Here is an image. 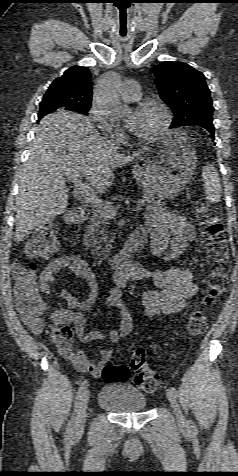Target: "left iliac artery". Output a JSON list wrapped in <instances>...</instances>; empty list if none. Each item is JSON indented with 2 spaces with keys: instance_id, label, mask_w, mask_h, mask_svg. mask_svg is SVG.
<instances>
[{
  "instance_id": "left-iliac-artery-1",
  "label": "left iliac artery",
  "mask_w": 238,
  "mask_h": 476,
  "mask_svg": "<svg viewBox=\"0 0 238 476\" xmlns=\"http://www.w3.org/2000/svg\"><path fill=\"white\" fill-rule=\"evenodd\" d=\"M170 390L176 397L179 396V392L175 387H170ZM189 425H190V428L192 429V431L197 432L196 426L193 423V421L189 420Z\"/></svg>"
}]
</instances>
